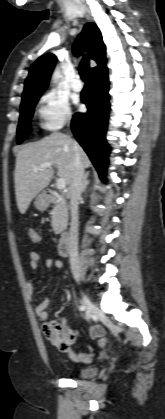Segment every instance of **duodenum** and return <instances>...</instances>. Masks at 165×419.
<instances>
[{"label":"duodenum","instance_id":"410a0bca","mask_svg":"<svg viewBox=\"0 0 165 419\" xmlns=\"http://www.w3.org/2000/svg\"><path fill=\"white\" fill-rule=\"evenodd\" d=\"M55 193L52 190H48L43 194V199L48 202L53 201ZM58 252L61 256H67L69 252V232L65 229L63 230L60 239L58 241Z\"/></svg>","mask_w":165,"mask_h":419}]
</instances>
